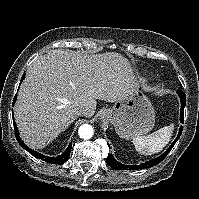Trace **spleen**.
I'll return each mask as SVG.
<instances>
[{
	"instance_id": "spleen-1",
	"label": "spleen",
	"mask_w": 199,
	"mask_h": 199,
	"mask_svg": "<svg viewBox=\"0 0 199 199\" xmlns=\"http://www.w3.org/2000/svg\"><path fill=\"white\" fill-rule=\"evenodd\" d=\"M174 125L164 126L147 136H140L133 139L135 149L142 155H152L160 152L169 143Z\"/></svg>"
}]
</instances>
